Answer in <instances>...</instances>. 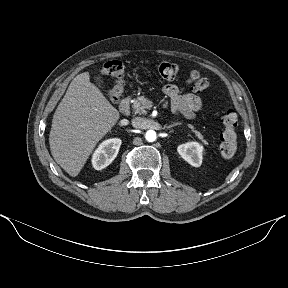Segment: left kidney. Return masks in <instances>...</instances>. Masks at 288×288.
Masks as SVG:
<instances>
[{"label":"left kidney","mask_w":288,"mask_h":288,"mask_svg":"<svg viewBox=\"0 0 288 288\" xmlns=\"http://www.w3.org/2000/svg\"><path fill=\"white\" fill-rule=\"evenodd\" d=\"M203 149V146L198 142H188L179 145L177 151L190 165L199 167L202 164Z\"/></svg>","instance_id":"1"}]
</instances>
